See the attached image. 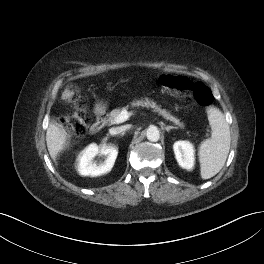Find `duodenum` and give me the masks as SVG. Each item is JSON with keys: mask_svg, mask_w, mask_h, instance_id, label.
Here are the masks:
<instances>
[{"mask_svg": "<svg viewBox=\"0 0 264 264\" xmlns=\"http://www.w3.org/2000/svg\"><path fill=\"white\" fill-rule=\"evenodd\" d=\"M95 120L91 125L90 131L92 133H97L103 126L105 122V110L101 106H97L94 109Z\"/></svg>", "mask_w": 264, "mask_h": 264, "instance_id": "duodenum-1", "label": "duodenum"}]
</instances>
